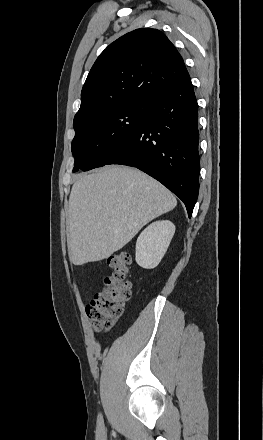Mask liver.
<instances>
[{
    "label": "liver",
    "mask_w": 263,
    "mask_h": 440,
    "mask_svg": "<svg viewBox=\"0 0 263 440\" xmlns=\"http://www.w3.org/2000/svg\"><path fill=\"white\" fill-rule=\"evenodd\" d=\"M176 205L168 189L138 169L108 166L81 175L69 197L70 261L83 265L108 258Z\"/></svg>",
    "instance_id": "6515ba94"
}]
</instances>
